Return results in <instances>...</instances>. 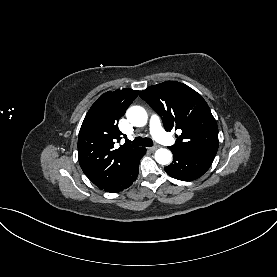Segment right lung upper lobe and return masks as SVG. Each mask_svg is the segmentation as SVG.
<instances>
[{
  "label": "right lung upper lobe",
  "instance_id": "right-lung-upper-lobe-1",
  "mask_svg": "<svg viewBox=\"0 0 277 277\" xmlns=\"http://www.w3.org/2000/svg\"><path fill=\"white\" fill-rule=\"evenodd\" d=\"M138 94L139 91L129 88L104 93L91 106L82 123L78 137L79 164L100 189L119 177L141 150L133 148L128 140L118 149L114 147L122 135L118 121Z\"/></svg>",
  "mask_w": 277,
  "mask_h": 277
}]
</instances>
